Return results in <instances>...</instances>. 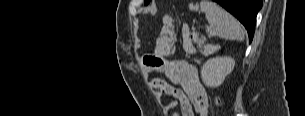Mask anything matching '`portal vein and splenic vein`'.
<instances>
[{"label":"portal vein and splenic vein","instance_id":"18ae733b","mask_svg":"<svg viewBox=\"0 0 305 116\" xmlns=\"http://www.w3.org/2000/svg\"><path fill=\"white\" fill-rule=\"evenodd\" d=\"M207 29L209 30V29H210V27H208V26H207Z\"/></svg>","mask_w":305,"mask_h":116}]
</instances>
